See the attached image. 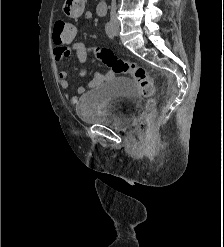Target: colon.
I'll return each mask as SVG.
<instances>
[{"mask_svg":"<svg viewBox=\"0 0 224 247\" xmlns=\"http://www.w3.org/2000/svg\"><path fill=\"white\" fill-rule=\"evenodd\" d=\"M77 36V28L72 23L65 20H57L53 28L54 40L60 42L73 41ZM82 54H85L83 51ZM96 58L104 65L112 69L116 74H129L138 85L142 95L148 99L146 110L142 118L138 121L136 129L139 133H144L149 126L153 114L152 96L154 94V83L147 71L140 65L119 58L108 48H95Z\"/></svg>","mask_w":224,"mask_h":247,"instance_id":"colon-1","label":"colon"}]
</instances>
